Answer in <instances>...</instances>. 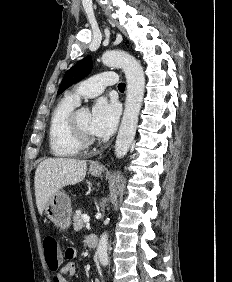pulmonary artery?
<instances>
[{
  "label": "pulmonary artery",
  "mask_w": 232,
  "mask_h": 282,
  "mask_svg": "<svg viewBox=\"0 0 232 282\" xmlns=\"http://www.w3.org/2000/svg\"><path fill=\"white\" fill-rule=\"evenodd\" d=\"M117 82L118 77L115 72H101L78 84L69 95L80 101L82 97H94L100 94L106 86L115 85Z\"/></svg>",
  "instance_id": "1"
}]
</instances>
